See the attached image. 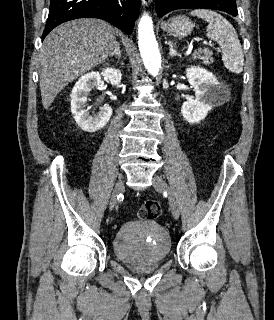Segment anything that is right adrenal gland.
Segmentation results:
<instances>
[{
  "label": "right adrenal gland",
  "instance_id": "2a0ac1e0",
  "mask_svg": "<svg viewBox=\"0 0 274 320\" xmlns=\"http://www.w3.org/2000/svg\"><path fill=\"white\" fill-rule=\"evenodd\" d=\"M109 58H117V60H120L121 58V52H120V44L116 42L115 44V50L110 54Z\"/></svg>",
  "mask_w": 274,
  "mask_h": 320
}]
</instances>
